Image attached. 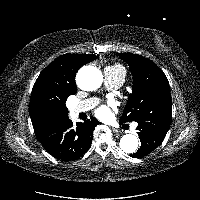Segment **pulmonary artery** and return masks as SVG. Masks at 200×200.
<instances>
[{
	"instance_id": "pulmonary-artery-1",
	"label": "pulmonary artery",
	"mask_w": 200,
	"mask_h": 200,
	"mask_svg": "<svg viewBox=\"0 0 200 200\" xmlns=\"http://www.w3.org/2000/svg\"><path fill=\"white\" fill-rule=\"evenodd\" d=\"M104 81H105V86L108 89H118L119 87L122 86L124 82V76L121 74L115 73L109 69H105ZM95 102L96 100L91 98L85 101L75 103L71 106V111L73 114L78 115L79 113L90 110L94 106ZM134 127H136V124L134 125Z\"/></svg>"
}]
</instances>
